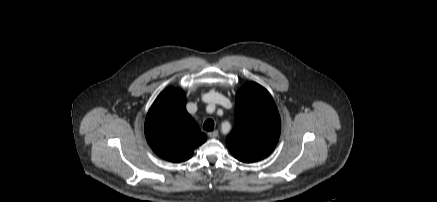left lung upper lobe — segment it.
Listing matches in <instances>:
<instances>
[{
	"label": "left lung upper lobe",
	"instance_id": "5c2ea615",
	"mask_svg": "<svg viewBox=\"0 0 437 202\" xmlns=\"http://www.w3.org/2000/svg\"><path fill=\"white\" fill-rule=\"evenodd\" d=\"M281 131L276 104L261 85L250 82L236 94L235 126L226 139L233 156L245 163L267 157L275 148Z\"/></svg>",
	"mask_w": 437,
	"mask_h": 202
}]
</instances>
